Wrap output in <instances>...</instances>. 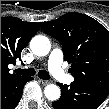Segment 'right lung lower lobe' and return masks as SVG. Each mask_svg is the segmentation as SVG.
Instances as JSON below:
<instances>
[{
	"instance_id": "right-lung-lower-lobe-1",
	"label": "right lung lower lobe",
	"mask_w": 109,
	"mask_h": 109,
	"mask_svg": "<svg viewBox=\"0 0 109 109\" xmlns=\"http://www.w3.org/2000/svg\"><path fill=\"white\" fill-rule=\"evenodd\" d=\"M33 78L20 76L1 85V109H14L22 96L26 82Z\"/></svg>"
}]
</instances>
